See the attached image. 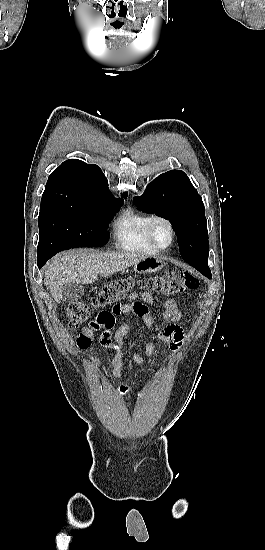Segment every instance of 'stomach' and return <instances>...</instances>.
Instances as JSON below:
<instances>
[{
	"label": "stomach",
	"instance_id": "0dacf381",
	"mask_svg": "<svg viewBox=\"0 0 265 550\" xmlns=\"http://www.w3.org/2000/svg\"><path fill=\"white\" fill-rule=\"evenodd\" d=\"M165 263L158 257H146L134 264V271L139 274L155 273L164 267Z\"/></svg>",
	"mask_w": 265,
	"mask_h": 550
}]
</instances>
